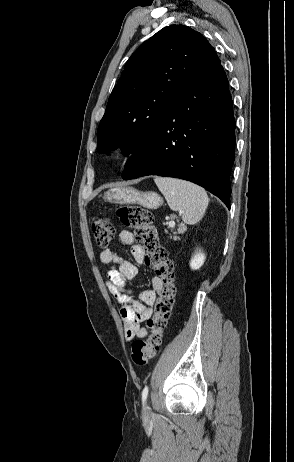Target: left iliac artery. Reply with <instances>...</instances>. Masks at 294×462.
Instances as JSON below:
<instances>
[{"label":"left iliac artery","instance_id":"1","mask_svg":"<svg viewBox=\"0 0 294 462\" xmlns=\"http://www.w3.org/2000/svg\"><path fill=\"white\" fill-rule=\"evenodd\" d=\"M148 396V386H145V388L142 391V402L143 404L145 403L146 399Z\"/></svg>","mask_w":294,"mask_h":462}]
</instances>
